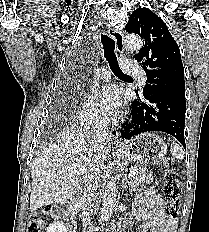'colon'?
Wrapping results in <instances>:
<instances>
[{"mask_svg":"<svg viewBox=\"0 0 209 232\" xmlns=\"http://www.w3.org/2000/svg\"><path fill=\"white\" fill-rule=\"evenodd\" d=\"M163 195L165 212L168 217L175 219L178 215L181 201V185L179 175L174 171L165 174L163 180ZM49 213L44 209L41 213L32 214L28 221L27 232H42L43 217Z\"/></svg>","mask_w":209,"mask_h":232,"instance_id":"5ec220e1","label":"colon"}]
</instances>
